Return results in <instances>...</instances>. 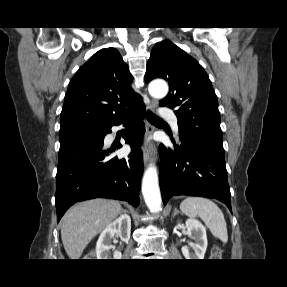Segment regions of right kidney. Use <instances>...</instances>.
<instances>
[{
	"label": "right kidney",
	"instance_id": "1",
	"mask_svg": "<svg viewBox=\"0 0 287 287\" xmlns=\"http://www.w3.org/2000/svg\"><path fill=\"white\" fill-rule=\"evenodd\" d=\"M131 218L127 214L121 215L119 218L110 223L100 234L96 244L97 259H121V252L115 250L111 254L112 239L117 234L122 241L127 242L130 239Z\"/></svg>",
	"mask_w": 287,
	"mask_h": 287
}]
</instances>
